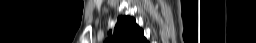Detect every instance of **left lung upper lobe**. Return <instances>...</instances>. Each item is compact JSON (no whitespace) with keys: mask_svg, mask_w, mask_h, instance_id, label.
I'll use <instances>...</instances> for the list:
<instances>
[{"mask_svg":"<svg viewBox=\"0 0 256 43\" xmlns=\"http://www.w3.org/2000/svg\"><path fill=\"white\" fill-rule=\"evenodd\" d=\"M110 37L105 43H148L143 30L136 24L133 17L120 16Z\"/></svg>","mask_w":256,"mask_h":43,"instance_id":"left-lung-upper-lobe-1","label":"left lung upper lobe"}]
</instances>
